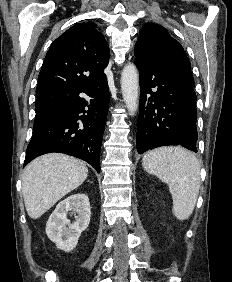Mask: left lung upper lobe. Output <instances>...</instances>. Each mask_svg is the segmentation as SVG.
I'll return each instance as SVG.
<instances>
[{
	"instance_id": "1",
	"label": "left lung upper lobe",
	"mask_w": 232,
	"mask_h": 282,
	"mask_svg": "<svg viewBox=\"0 0 232 282\" xmlns=\"http://www.w3.org/2000/svg\"><path fill=\"white\" fill-rule=\"evenodd\" d=\"M135 57L146 60H158L171 56L188 59L183 47L161 25L145 24L135 44Z\"/></svg>"
}]
</instances>
